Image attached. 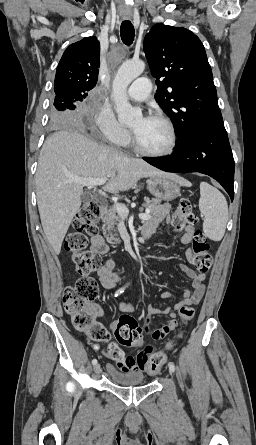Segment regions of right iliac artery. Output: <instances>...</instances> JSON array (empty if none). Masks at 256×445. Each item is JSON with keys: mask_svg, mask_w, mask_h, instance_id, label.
<instances>
[{"mask_svg": "<svg viewBox=\"0 0 256 445\" xmlns=\"http://www.w3.org/2000/svg\"><path fill=\"white\" fill-rule=\"evenodd\" d=\"M124 289H125V287H122V288H120L118 291H116V293H115V297H117L118 295H120L121 293H123V292H124ZM96 363H97V360H96V359H93V360H92V364L95 365Z\"/></svg>", "mask_w": 256, "mask_h": 445, "instance_id": "1", "label": "right iliac artery"}]
</instances>
